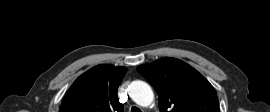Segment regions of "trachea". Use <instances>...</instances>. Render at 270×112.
Here are the masks:
<instances>
[{
	"label": "trachea",
	"instance_id": "1",
	"mask_svg": "<svg viewBox=\"0 0 270 112\" xmlns=\"http://www.w3.org/2000/svg\"><path fill=\"white\" fill-rule=\"evenodd\" d=\"M131 112H142L138 107L133 106Z\"/></svg>",
	"mask_w": 270,
	"mask_h": 112
}]
</instances>
